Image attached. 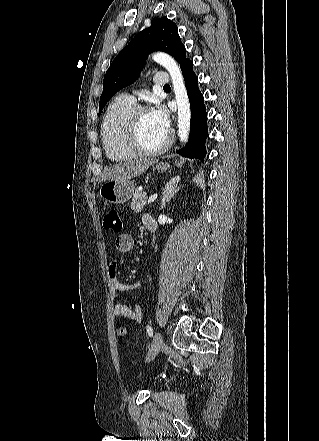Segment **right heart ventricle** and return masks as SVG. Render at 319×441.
<instances>
[{
  "mask_svg": "<svg viewBox=\"0 0 319 441\" xmlns=\"http://www.w3.org/2000/svg\"><path fill=\"white\" fill-rule=\"evenodd\" d=\"M135 107V102L125 96L115 98L108 106L101 124L103 148L109 159L124 161L136 154L127 146L125 128L128 117Z\"/></svg>",
  "mask_w": 319,
  "mask_h": 441,
  "instance_id": "right-heart-ventricle-1",
  "label": "right heart ventricle"
}]
</instances>
